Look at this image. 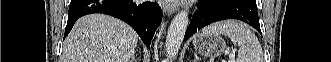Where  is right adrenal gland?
<instances>
[{"instance_id": "obj_1", "label": "right adrenal gland", "mask_w": 331, "mask_h": 62, "mask_svg": "<svg viewBox=\"0 0 331 62\" xmlns=\"http://www.w3.org/2000/svg\"><path fill=\"white\" fill-rule=\"evenodd\" d=\"M130 62H137V61H136L135 52L132 54V57H131Z\"/></svg>"}]
</instances>
